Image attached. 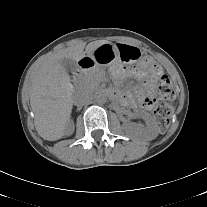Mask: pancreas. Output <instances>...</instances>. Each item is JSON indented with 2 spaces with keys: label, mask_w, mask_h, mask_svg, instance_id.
I'll use <instances>...</instances> for the list:
<instances>
[{
  "label": "pancreas",
  "mask_w": 207,
  "mask_h": 207,
  "mask_svg": "<svg viewBox=\"0 0 207 207\" xmlns=\"http://www.w3.org/2000/svg\"><path fill=\"white\" fill-rule=\"evenodd\" d=\"M102 76L103 72L100 69L85 72L82 76L81 85L86 90H94L98 87Z\"/></svg>",
  "instance_id": "cf45deb5"
}]
</instances>
